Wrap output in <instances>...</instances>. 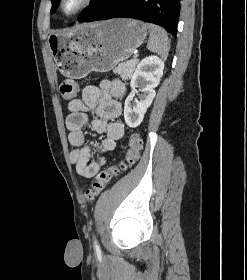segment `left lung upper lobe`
Listing matches in <instances>:
<instances>
[{
    "instance_id": "left-lung-upper-lobe-1",
    "label": "left lung upper lobe",
    "mask_w": 247,
    "mask_h": 280,
    "mask_svg": "<svg viewBox=\"0 0 247 280\" xmlns=\"http://www.w3.org/2000/svg\"><path fill=\"white\" fill-rule=\"evenodd\" d=\"M58 1L59 0H52V9H51V14H53L56 10V7L58 5ZM108 0H95L93 5L87 7L85 9V11L82 13V15L80 16V18H84L87 15H89L92 11H94L95 9H97L98 7H100L101 5L105 4Z\"/></svg>"
}]
</instances>
